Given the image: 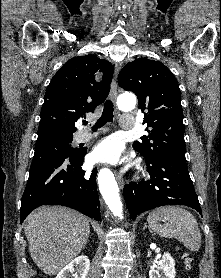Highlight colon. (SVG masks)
I'll return each instance as SVG.
<instances>
[{
	"mask_svg": "<svg viewBox=\"0 0 221 278\" xmlns=\"http://www.w3.org/2000/svg\"><path fill=\"white\" fill-rule=\"evenodd\" d=\"M181 258L184 261L186 268H190L191 267L190 257L185 253H181Z\"/></svg>",
	"mask_w": 221,
	"mask_h": 278,
	"instance_id": "obj_1",
	"label": "colon"
}]
</instances>
